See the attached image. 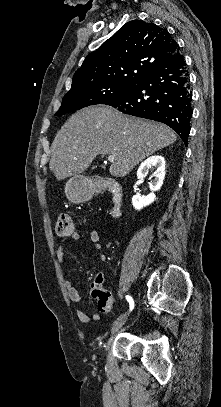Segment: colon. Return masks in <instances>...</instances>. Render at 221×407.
I'll return each mask as SVG.
<instances>
[{"label":"colon","mask_w":221,"mask_h":407,"mask_svg":"<svg viewBox=\"0 0 221 407\" xmlns=\"http://www.w3.org/2000/svg\"><path fill=\"white\" fill-rule=\"evenodd\" d=\"M56 232L58 236L67 237L73 234L74 232V225L70 215L68 214H61L58 217L57 224H56ZM91 293L93 296L98 298V309L100 312L103 313H110L111 312V301L106 296L102 288V284L99 282L91 283Z\"/></svg>","instance_id":"colon-1"}]
</instances>
